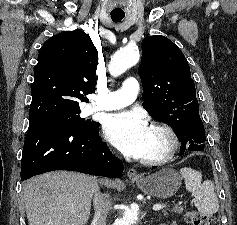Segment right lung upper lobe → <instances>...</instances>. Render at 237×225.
I'll return each instance as SVG.
<instances>
[{
    "mask_svg": "<svg viewBox=\"0 0 237 225\" xmlns=\"http://www.w3.org/2000/svg\"><path fill=\"white\" fill-rule=\"evenodd\" d=\"M98 53L81 30L64 31L48 39L34 71L29 122L80 111L79 101L95 91Z\"/></svg>",
    "mask_w": 237,
    "mask_h": 225,
    "instance_id": "cb5924a9",
    "label": "right lung upper lobe"
}]
</instances>
